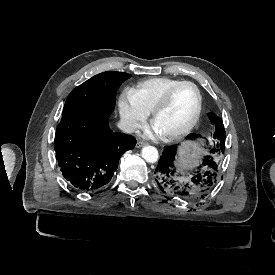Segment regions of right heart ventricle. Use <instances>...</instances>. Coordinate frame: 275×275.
I'll use <instances>...</instances> for the list:
<instances>
[{
  "mask_svg": "<svg viewBox=\"0 0 275 275\" xmlns=\"http://www.w3.org/2000/svg\"><path fill=\"white\" fill-rule=\"evenodd\" d=\"M178 80L169 77H155L136 85L134 93L139 102L149 111H153L164 92Z\"/></svg>",
  "mask_w": 275,
  "mask_h": 275,
  "instance_id": "e07e8e85",
  "label": "right heart ventricle"
}]
</instances>
